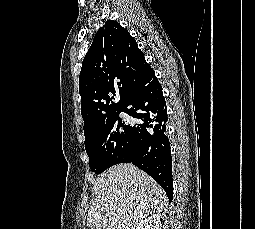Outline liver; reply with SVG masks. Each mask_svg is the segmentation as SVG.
<instances>
[{
  "label": "liver",
  "mask_w": 255,
  "mask_h": 229,
  "mask_svg": "<svg viewBox=\"0 0 255 229\" xmlns=\"http://www.w3.org/2000/svg\"><path fill=\"white\" fill-rule=\"evenodd\" d=\"M87 226L93 229H136L149 214L166 203L162 187L131 163L114 165L93 184Z\"/></svg>",
  "instance_id": "1"
}]
</instances>
